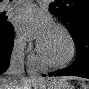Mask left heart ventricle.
Wrapping results in <instances>:
<instances>
[{
  "mask_svg": "<svg viewBox=\"0 0 89 89\" xmlns=\"http://www.w3.org/2000/svg\"><path fill=\"white\" fill-rule=\"evenodd\" d=\"M44 56L51 62H61L68 57L69 43L65 35L53 27L48 36L40 42Z\"/></svg>",
  "mask_w": 89,
  "mask_h": 89,
  "instance_id": "obj_1",
  "label": "left heart ventricle"
}]
</instances>
